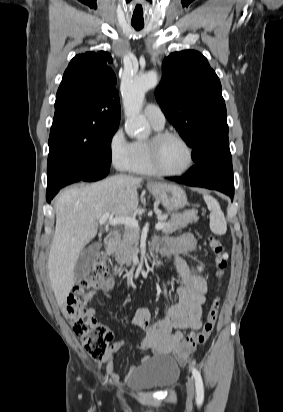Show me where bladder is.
<instances>
[{"mask_svg":"<svg viewBox=\"0 0 283 412\" xmlns=\"http://www.w3.org/2000/svg\"><path fill=\"white\" fill-rule=\"evenodd\" d=\"M177 362L170 357L149 360L128 376V384L138 389H164L173 385L179 377Z\"/></svg>","mask_w":283,"mask_h":412,"instance_id":"obj_1","label":"bladder"}]
</instances>
